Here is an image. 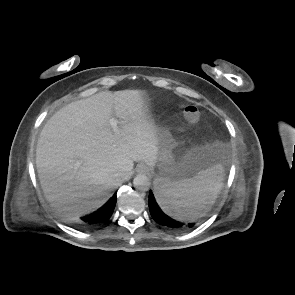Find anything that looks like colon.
Segmentation results:
<instances>
[{"instance_id": "colon-1", "label": "colon", "mask_w": 295, "mask_h": 295, "mask_svg": "<svg viewBox=\"0 0 295 295\" xmlns=\"http://www.w3.org/2000/svg\"><path fill=\"white\" fill-rule=\"evenodd\" d=\"M183 115L188 122L195 123L200 118V112L194 105L187 104L183 106Z\"/></svg>"}]
</instances>
